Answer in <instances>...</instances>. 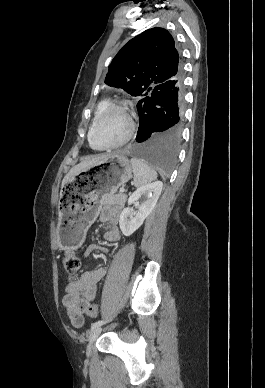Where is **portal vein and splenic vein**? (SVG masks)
<instances>
[{
    "mask_svg": "<svg viewBox=\"0 0 265 388\" xmlns=\"http://www.w3.org/2000/svg\"><path fill=\"white\" fill-rule=\"evenodd\" d=\"M120 192H125L124 188H121Z\"/></svg>",
    "mask_w": 265,
    "mask_h": 388,
    "instance_id": "obj_1",
    "label": "portal vein and splenic vein"
}]
</instances>
